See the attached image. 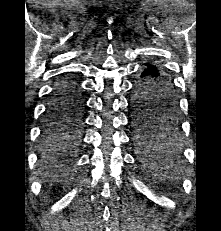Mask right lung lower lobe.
<instances>
[{
	"label": "right lung lower lobe",
	"mask_w": 221,
	"mask_h": 231,
	"mask_svg": "<svg viewBox=\"0 0 221 231\" xmlns=\"http://www.w3.org/2000/svg\"><path fill=\"white\" fill-rule=\"evenodd\" d=\"M82 99H83L82 93L79 87L77 86L76 82L72 80H65L60 82L55 87L49 105L55 102L66 103V102H75Z\"/></svg>",
	"instance_id": "obj_1"
}]
</instances>
